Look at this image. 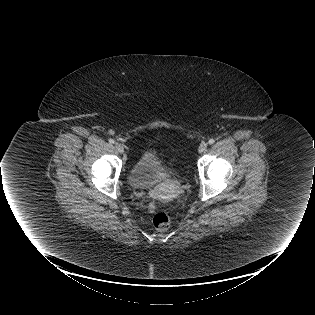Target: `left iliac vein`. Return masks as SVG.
<instances>
[{
	"label": "left iliac vein",
	"mask_w": 315,
	"mask_h": 315,
	"mask_svg": "<svg viewBox=\"0 0 315 315\" xmlns=\"http://www.w3.org/2000/svg\"><path fill=\"white\" fill-rule=\"evenodd\" d=\"M208 144L206 142H202L198 148L200 153H203L207 149Z\"/></svg>",
	"instance_id": "4c4485c4"
}]
</instances>
